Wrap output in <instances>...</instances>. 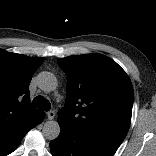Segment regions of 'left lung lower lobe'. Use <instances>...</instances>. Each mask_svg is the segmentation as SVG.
<instances>
[{
	"label": "left lung lower lobe",
	"instance_id": "left-lung-lower-lobe-1",
	"mask_svg": "<svg viewBox=\"0 0 156 156\" xmlns=\"http://www.w3.org/2000/svg\"><path fill=\"white\" fill-rule=\"evenodd\" d=\"M60 135L50 142L53 156H112L118 146L98 137L84 135L60 122Z\"/></svg>",
	"mask_w": 156,
	"mask_h": 156
}]
</instances>
